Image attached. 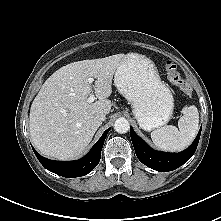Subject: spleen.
I'll return each instance as SVG.
<instances>
[{
	"instance_id": "obj_1",
	"label": "spleen",
	"mask_w": 221,
	"mask_h": 221,
	"mask_svg": "<svg viewBox=\"0 0 221 221\" xmlns=\"http://www.w3.org/2000/svg\"><path fill=\"white\" fill-rule=\"evenodd\" d=\"M178 128L166 125L151 132V139L159 149L169 152L182 151L194 140L199 126V113L194 105L182 109Z\"/></svg>"
}]
</instances>
